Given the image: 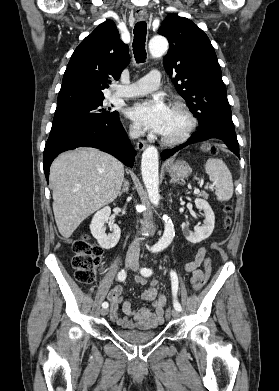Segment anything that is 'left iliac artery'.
Here are the masks:
<instances>
[{
    "mask_svg": "<svg viewBox=\"0 0 279 391\" xmlns=\"http://www.w3.org/2000/svg\"><path fill=\"white\" fill-rule=\"evenodd\" d=\"M152 273H153V271L150 268H142L141 269V274L145 277L152 275ZM170 276H171V283H172V294H173V298H174L173 305L176 310L181 311L182 310L181 305L177 300L178 277L174 271L170 272Z\"/></svg>",
    "mask_w": 279,
    "mask_h": 391,
    "instance_id": "obj_1",
    "label": "left iliac artery"
}]
</instances>
